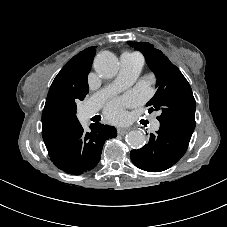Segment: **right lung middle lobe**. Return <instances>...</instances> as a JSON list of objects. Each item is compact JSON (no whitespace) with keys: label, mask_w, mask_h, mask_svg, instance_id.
Segmentation results:
<instances>
[{"label":"right lung middle lobe","mask_w":227,"mask_h":227,"mask_svg":"<svg viewBox=\"0 0 227 227\" xmlns=\"http://www.w3.org/2000/svg\"><path fill=\"white\" fill-rule=\"evenodd\" d=\"M85 95L62 94L45 103L42 113L43 138L64 133L79 123L76 117V102L83 100Z\"/></svg>","instance_id":"dd1d6c3e"}]
</instances>
